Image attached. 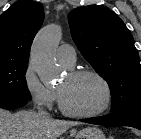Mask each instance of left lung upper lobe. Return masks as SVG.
I'll use <instances>...</instances> for the list:
<instances>
[{
	"label": "left lung upper lobe",
	"mask_w": 141,
	"mask_h": 139,
	"mask_svg": "<svg viewBox=\"0 0 141 139\" xmlns=\"http://www.w3.org/2000/svg\"><path fill=\"white\" fill-rule=\"evenodd\" d=\"M72 38L108 83L111 112L141 105V65L131 32L110 9L89 5L69 14Z\"/></svg>",
	"instance_id": "left-lung-upper-lobe-1"
}]
</instances>
